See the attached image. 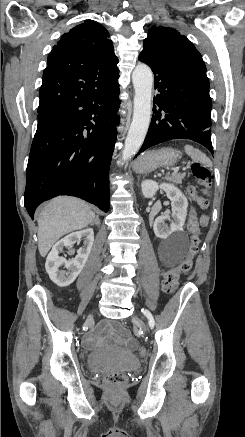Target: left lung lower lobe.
Returning a JSON list of instances; mask_svg holds the SVG:
<instances>
[{
    "mask_svg": "<svg viewBox=\"0 0 245 437\" xmlns=\"http://www.w3.org/2000/svg\"><path fill=\"white\" fill-rule=\"evenodd\" d=\"M139 60L151 67L158 94L153 99L155 115L135 158L148 148L172 139L196 141L213 153L209 86L150 55L140 53Z\"/></svg>",
    "mask_w": 245,
    "mask_h": 437,
    "instance_id": "0a47b994",
    "label": "left lung lower lobe"
}]
</instances>
